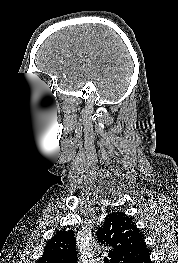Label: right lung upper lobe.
<instances>
[{"label":"right lung upper lobe","instance_id":"1","mask_svg":"<svg viewBox=\"0 0 178 263\" xmlns=\"http://www.w3.org/2000/svg\"><path fill=\"white\" fill-rule=\"evenodd\" d=\"M96 235L101 244L111 248L108 252L111 263H135L148 252L144 236L122 212L108 214ZM38 263H77L74 234L58 232L44 247Z\"/></svg>","mask_w":178,"mask_h":263}]
</instances>
